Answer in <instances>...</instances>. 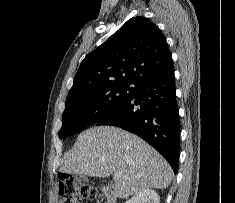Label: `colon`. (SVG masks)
<instances>
[{
	"mask_svg": "<svg viewBox=\"0 0 235 203\" xmlns=\"http://www.w3.org/2000/svg\"><path fill=\"white\" fill-rule=\"evenodd\" d=\"M59 203H82L83 200H98L96 189L73 175L61 174L58 179Z\"/></svg>",
	"mask_w": 235,
	"mask_h": 203,
	"instance_id": "obj_1",
	"label": "colon"
}]
</instances>
